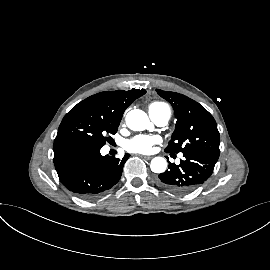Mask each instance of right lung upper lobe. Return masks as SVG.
I'll return each mask as SVG.
<instances>
[{
	"label": "right lung upper lobe",
	"instance_id": "right-lung-upper-lobe-1",
	"mask_svg": "<svg viewBox=\"0 0 270 270\" xmlns=\"http://www.w3.org/2000/svg\"><path fill=\"white\" fill-rule=\"evenodd\" d=\"M145 93L144 89L107 91L92 95L86 100L95 107L99 114L120 122L125 109Z\"/></svg>",
	"mask_w": 270,
	"mask_h": 270
}]
</instances>
